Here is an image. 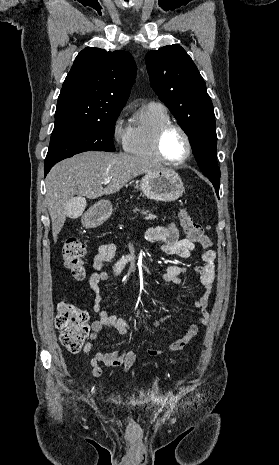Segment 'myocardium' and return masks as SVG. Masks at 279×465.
Listing matches in <instances>:
<instances>
[{
	"mask_svg": "<svg viewBox=\"0 0 279 465\" xmlns=\"http://www.w3.org/2000/svg\"><path fill=\"white\" fill-rule=\"evenodd\" d=\"M171 129H176L178 130L184 137L185 139V142H186V145H187V152H186V155L180 159V160H170L168 159L164 152H163V139L166 135V133L168 131H170ZM154 146H155V150H156V153L158 154V156L160 157V159L169 164V165H173V166H178V165H182L184 163H186L191 155H192V150H193V147H192V142H191V139H190V136L189 134L187 133V131L179 124H176V123H167L165 125H163L157 132L156 136H155V141H154Z\"/></svg>",
	"mask_w": 279,
	"mask_h": 465,
	"instance_id": "1",
	"label": "myocardium"
}]
</instances>
